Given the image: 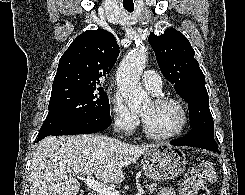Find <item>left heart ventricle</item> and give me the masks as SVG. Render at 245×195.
I'll return each instance as SVG.
<instances>
[{
	"mask_svg": "<svg viewBox=\"0 0 245 195\" xmlns=\"http://www.w3.org/2000/svg\"><path fill=\"white\" fill-rule=\"evenodd\" d=\"M147 127L155 134H168L175 131L181 124L180 110L173 104L156 105L152 101L140 111Z\"/></svg>",
	"mask_w": 245,
	"mask_h": 195,
	"instance_id": "obj_1",
	"label": "left heart ventricle"
}]
</instances>
